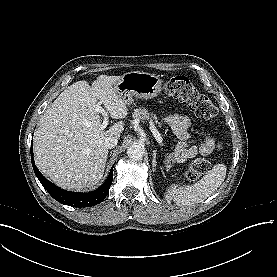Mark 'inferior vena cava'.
Returning a JSON list of instances; mask_svg holds the SVG:
<instances>
[{"label": "inferior vena cava", "mask_w": 277, "mask_h": 277, "mask_svg": "<svg viewBox=\"0 0 277 277\" xmlns=\"http://www.w3.org/2000/svg\"><path fill=\"white\" fill-rule=\"evenodd\" d=\"M118 143V138L114 137V136H110L108 138H106L105 142H104V146L107 149H112L114 148Z\"/></svg>", "instance_id": "inferior-vena-cava-1"}]
</instances>
